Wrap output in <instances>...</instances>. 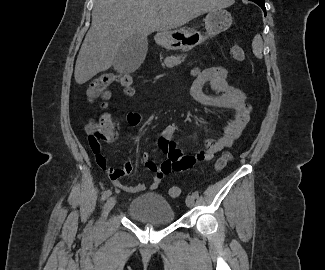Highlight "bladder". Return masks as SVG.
<instances>
[{"label": "bladder", "instance_id": "obj_1", "mask_svg": "<svg viewBox=\"0 0 325 270\" xmlns=\"http://www.w3.org/2000/svg\"><path fill=\"white\" fill-rule=\"evenodd\" d=\"M128 215L138 221L163 225L175 220L172 205L156 193H148L135 197L127 208Z\"/></svg>", "mask_w": 325, "mask_h": 270}]
</instances>
